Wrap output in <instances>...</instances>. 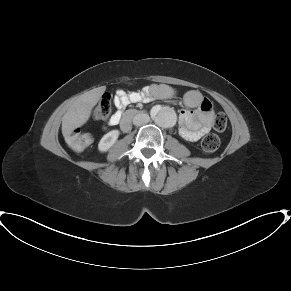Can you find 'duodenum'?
I'll list each match as a JSON object with an SVG mask.
<instances>
[{"mask_svg": "<svg viewBox=\"0 0 291 291\" xmlns=\"http://www.w3.org/2000/svg\"><path fill=\"white\" fill-rule=\"evenodd\" d=\"M143 114V111L136 110V109H130L127 110L122 117V121L120 124V128L123 132H127L130 129V121L132 118Z\"/></svg>", "mask_w": 291, "mask_h": 291, "instance_id": "obj_1", "label": "duodenum"}]
</instances>
